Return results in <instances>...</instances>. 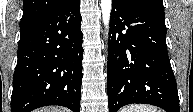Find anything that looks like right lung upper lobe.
<instances>
[{
    "instance_id": "cb5924a9",
    "label": "right lung upper lobe",
    "mask_w": 193,
    "mask_h": 112,
    "mask_svg": "<svg viewBox=\"0 0 193 112\" xmlns=\"http://www.w3.org/2000/svg\"><path fill=\"white\" fill-rule=\"evenodd\" d=\"M72 0H24L20 27L32 24L62 9Z\"/></svg>"
}]
</instances>
